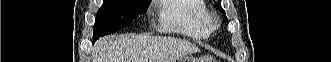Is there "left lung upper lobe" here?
I'll return each instance as SVG.
<instances>
[{
	"mask_svg": "<svg viewBox=\"0 0 331 62\" xmlns=\"http://www.w3.org/2000/svg\"><path fill=\"white\" fill-rule=\"evenodd\" d=\"M220 1H221V0H217V6L220 8L221 12L223 13V15H224L225 18H226L225 11L222 9L221 4H220ZM226 20L228 21L227 18H226Z\"/></svg>",
	"mask_w": 331,
	"mask_h": 62,
	"instance_id": "1",
	"label": "left lung upper lobe"
}]
</instances>
